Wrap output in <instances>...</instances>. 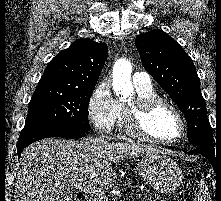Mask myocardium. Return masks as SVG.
I'll use <instances>...</instances> for the list:
<instances>
[{
  "label": "myocardium",
  "mask_w": 221,
  "mask_h": 201,
  "mask_svg": "<svg viewBox=\"0 0 221 201\" xmlns=\"http://www.w3.org/2000/svg\"><path fill=\"white\" fill-rule=\"evenodd\" d=\"M169 108L177 117L181 131L178 137L170 140L158 139L150 135L144 127L145 119L158 107ZM123 127L131 136L159 145H171L179 142L186 133V122L181 111L172 102L160 97H137L123 107Z\"/></svg>",
  "instance_id": "f54148a6"
}]
</instances>
